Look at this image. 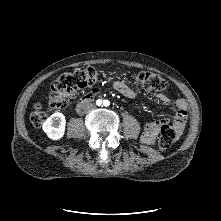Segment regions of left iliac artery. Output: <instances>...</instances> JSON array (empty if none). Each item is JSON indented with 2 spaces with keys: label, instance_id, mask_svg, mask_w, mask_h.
<instances>
[{
  "label": "left iliac artery",
  "instance_id": "44dca946",
  "mask_svg": "<svg viewBox=\"0 0 221 221\" xmlns=\"http://www.w3.org/2000/svg\"><path fill=\"white\" fill-rule=\"evenodd\" d=\"M103 104H104V106H109L110 103H109L108 100H104V101H103Z\"/></svg>",
  "mask_w": 221,
  "mask_h": 221
}]
</instances>
